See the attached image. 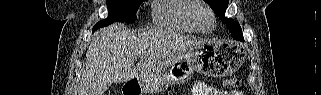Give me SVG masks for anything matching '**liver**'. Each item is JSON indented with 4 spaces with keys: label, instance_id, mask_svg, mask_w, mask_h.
Masks as SVG:
<instances>
[{
    "label": "liver",
    "instance_id": "1",
    "mask_svg": "<svg viewBox=\"0 0 321 95\" xmlns=\"http://www.w3.org/2000/svg\"><path fill=\"white\" fill-rule=\"evenodd\" d=\"M177 47L167 49V39ZM207 40L178 36L163 30L132 34L115 23L99 30L86 53V68L76 95H103L112 83L127 82L159 72L172 62L189 55ZM171 49V48H170ZM140 58L137 66L134 61Z\"/></svg>",
    "mask_w": 321,
    "mask_h": 95
}]
</instances>
